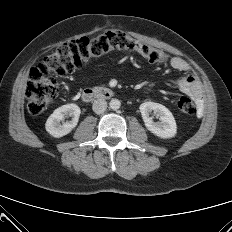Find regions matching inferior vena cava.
Returning a JSON list of instances; mask_svg holds the SVG:
<instances>
[{"mask_svg":"<svg viewBox=\"0 0 232 232\" xmlns=\"http://www.w3.org/2000/svg\"><path fill=\"white\" fill-rule=\"evenodd\" d=\"M92 109L96 114H102L107 109V102L104 99H97L93 102Z\"/></svg>","mask_w":232,"mask_h":232,"instance_id":"1","label":"inferior vena cava"}]
</instances>
